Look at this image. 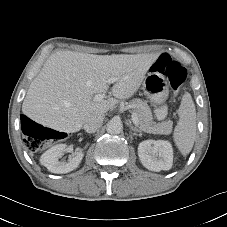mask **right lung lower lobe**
<instances>
[{
    "label": "right lung lower lobe",
    "mask_w": 227,
    "mask_h": 227,
    "mask_svg": "<svg viewBox=\"0 0 227 227\" xmlns=\"http://www.w3.org/2000/svg\"><path fill=\"white\" fill-rule=\"evenodd\" d=\"M34 123L32 120L27 118L26 116H21V127L24 129L28 124Z\"/></svg>",
    "instance_id": "right-lung-lower-lobe-1"
}]
</instances>
